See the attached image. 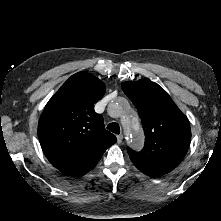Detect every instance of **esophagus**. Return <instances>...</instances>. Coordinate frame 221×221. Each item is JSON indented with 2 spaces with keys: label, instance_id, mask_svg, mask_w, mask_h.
Here are the masks:
<instances>
[{
  "label": "esophagus",
  "instance_id": "34e87169",
  "mask_svg": "<svg viewBox=\"0 0 221 221\" xmlns=\"http://www.w3.org/2000/svg\"><path fill=\"white\" fill-rule=\"evenodd\" d=\"M122 141H123V135L122 134L117 135V143L121 144Z\"/></svg>",
  "mask_w": 221,
  "mask_h": 221
}]
</instances>
